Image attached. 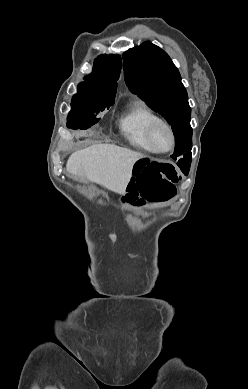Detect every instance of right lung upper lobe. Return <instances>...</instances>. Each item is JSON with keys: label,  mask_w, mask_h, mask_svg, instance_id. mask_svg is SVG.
Wrapping results in <instances>:
<instances>
[{"label": "right lung upper lobe", "mask_w": 248, "mask_h": 389, "mask_svg": "<svg viewBox=\"0 0 248 389\" xmlns=\"http://www.w3.org/2000/svg\"><path fill=\"white\" fill-rule=\"evenodd\" d=\"M121 67L119 55H100L95 59L93 72L80 85L93 93L115 96Z\"/></svg>", "instance_id": "right-lung-upper-lobe-1"}]
</instances>
